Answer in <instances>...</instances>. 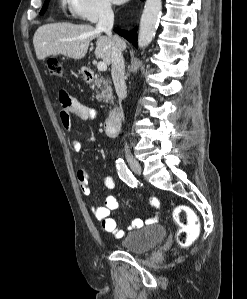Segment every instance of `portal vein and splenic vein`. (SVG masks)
<instances>
[{
	"label": "portal vein and splenic vein",
	"mask_w": 247,
	"mask_h": 299,
	"mask_svg": "<svg viewBox=\"0 0 247 299\" xmlns=\"http://www.w3.org/2000/svg\"><path fill=\"white\" fill-rule=\"evenodd\" d=\"M97 69H98L99 71H106V70H107V65H106V63H104V62H99V63L97 64Z\"/></svg>",
	"instance_id": "1"
}]
</instances>
